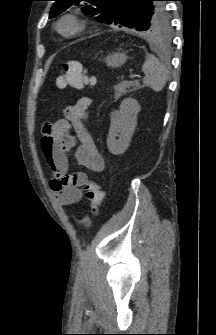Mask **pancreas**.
Listing matches in <instances>:
<instances>
[{
    "label": "pancreas",
    "instance_id": "obj_1",
    "mask_svg": "<svg viewBox=\"0 0 216 335\" xmlns=\"http://www.w3.org/2000/svg\"><path fill=\"white\" fill-rule=\"evenodd\" d=\"M133 87L132 89H130ZM140 86L137 82H128L123 81L121 83H118L114 86V98L115 101H117L119 98H121L123 95H126L127 93H130L132 91H135L139 89Z\"/></svg>",
    "mask_w": 216,
    "mask_h": 335
}]
</instances>
